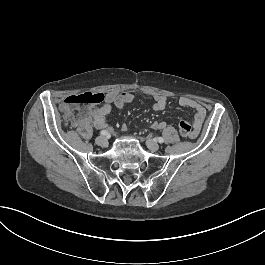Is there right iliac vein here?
I'll use <instances>...</instances> for the list:
<instances>
[{
  "instance_id": "right-iliac-vein-1",
  "label": "right iliac vein",
  "mask_w": 265,
  "mask_h": 265,
  "mask_svg": "<svg viewBox=\"0 0 265 265\" xmlns=\"http://www.w3.org/2000/svg\"><path fill=\"white\" fill-rule=\"evenodd\" d=\"M95 142L98 145L105 147V146H107L108 140L104 136H98V137H96Z\"/></svg>"
}]
</instances>
